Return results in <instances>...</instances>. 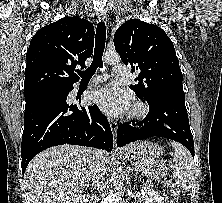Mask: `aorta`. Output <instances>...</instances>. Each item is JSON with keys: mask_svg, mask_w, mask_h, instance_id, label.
Returning <instances> with one entry per match:
<instances>
[{"mask_svg": "<svg viewBox=\"0 0 222 203\" xmlns=\"http://www.w3.org/2000/svg\"><path fill=\"white\" fill-rule=\"evenodd\" d=\"M120 60V56L116 52H106L104 55V61L107 64H117ZM123 171L122 167L120 166L119 162L112 161L111 164V181L113 183V186L116 189H119L123 185Z\"/></svg>", "mask_w": 222, "mask_h": 203, "instance_id": "aorta-1", "label": "aorta"}]
</instances>
